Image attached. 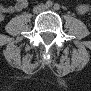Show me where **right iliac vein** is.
Segmentation results:
<instances>
[{
    "label": "right iliac vein",
    "instance_id": "right-iliac-vein-1",
    "mask_svg": "<svg viewBox=\"0 0 91 91\" xmlns=\"http://www.w3.org/2000/svg\"><path fill=\"white\" fill-rule=\"evenodd\" d=\"M41 9H42V6H37V7H35L34 12L38 13L41 11Z\"/></svg>",
    "mask_w": 91,
    "mask_h": 91
}]
</instances>
